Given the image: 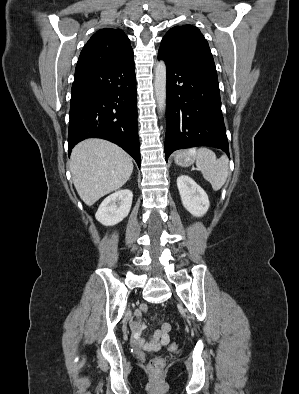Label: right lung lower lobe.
I'll use <instances>...</instances> for the list:
<instances>
[{"label":"right lung lower lobe","mask_w":299,"mask_h":394,"mask_svg":"<svg viewBox=\"0 0 299 394\" xmlns=\"http://www.w3.org/2000/svg\"><path fill=\"white\" fill-rule=\"evenodd\" d=\"M134 61L75 73L71 90L69 154L96 137L122 147L140 167Z\"/></svg>","instance_id":"obj_1"}]
</instances>
